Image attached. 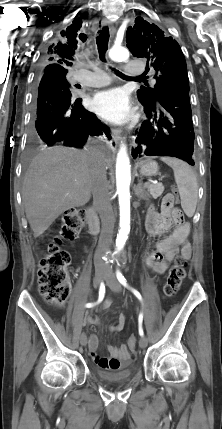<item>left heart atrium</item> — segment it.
<instances>
[{
  "label": "left heart atrium",
  "mask_w": 222,
  "mask_h": 429,
  "mask_svg": "<svg viewBox=\"0 0 222 429\" xmlns=\"http://www.w3.org/2000/svg\"><path fill=\"white\" fill-rule=\"evenodd\" d=\"M92 106L100 117L112 123H122L131 116L128 94L121 88L99 92Z\"/></svg>",
  "instance_id": "left-heart-atrium-1"
}]
</instances>
